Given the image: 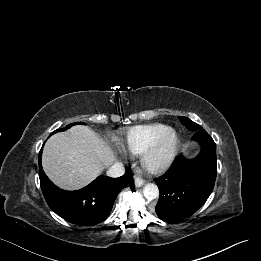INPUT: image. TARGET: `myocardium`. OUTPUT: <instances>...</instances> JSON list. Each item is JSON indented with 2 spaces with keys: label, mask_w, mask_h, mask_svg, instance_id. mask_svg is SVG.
<instances>
[{
  "label": "myocardium",
  "mask_w": 261,
  "mask_h": 261,
  "mask_svg": "<svg viewBox=\"0 0 261 261\" xmlns=\"http://www.w3.org/2000/svg\"><path fill=\"white\" fill-rule=\"evenodd\" d=\"M167 144L168 147L164 149ZM179 147L177 133L173 130L166 132L142 153V166L152 174L164 173L174 162Z\"/></svg>",
  "instance_id": "myocardium-1"
}]
</instances>
